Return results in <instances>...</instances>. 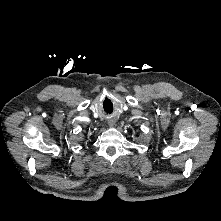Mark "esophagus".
Wrapping results in <instances>:
<instances>
[{
    "instance_id": "34e87169",
    "label": "esophagus",
    "mask_w": 221,
    "mask_h": 221,
    "mask_svg": "<svg viewBox=\"0 0 221 221\" xmlns=\"http://www.w3.org/2000/svg\"><path fill=\"white\" fill-rule=\"evenodd\" d=\"M108 123H109V126H111V127H112V126H114L115 121H114V120H109V122H108Z\"/></svg>"
}]
</instances>
